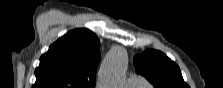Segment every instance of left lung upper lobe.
I'll return each instance as SVG.
<instances>
[{
	"label": "left lung upper lobe",
	"mask_w": 223,
	"mask_h": 88,
	"mask_svg": "<svg viewBox=\"0 0 223 88\" xmlns=\"http://www.w3.org/2000/svg\"><path fill=\"white\" fill-rule=\"evenodd\" d=\"M136 72L148 79L155 88H189L179 67L162 52L147 50L133 60Z\"/></svg>",
	"instance_id": "left-lung-upper-lobe-1"
}]
</instances>
